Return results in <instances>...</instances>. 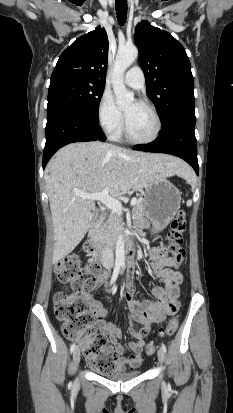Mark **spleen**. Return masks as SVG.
<instances>
[{"label": "spleen", "mask_w": 233, "mask_h": 413, "mask_svg": "<svg viewBox=\"0 0 233 413\" xmlns=\"http://www.w3.org/2000/svg\"><path fill=\"white\" fill-rule=\"evenodd\" d=\"M184 176L189 180L190 183H193L194 179L192 175H190L188 172L184 174Z\"/></svg>", "instance_id": "obj_1"}]
</instances>
